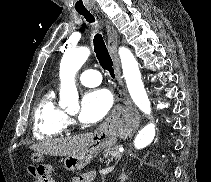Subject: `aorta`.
<instances>
[{
	"label": "aorta",
	"instance_id": "762f6f07",
	"mask_svg": "<svg viewBox=\"0 0 211 182\" xmlns=\"http://www.w3.org/2000/svg\"><path fill=\"white\" fill-rule=\"evenodd\" d=\"M119 56L122 64L123 76L125 78L129 94L135 105L146 115L151 114V103L141 79L139 65L130 49L119 48ZM90 56V49L79 47L67 51L60 64V103L62 106H77L78 91L75 85V76L81 66ZM155 137V125H145L134 139L136 149L147 147Z\"/></svg>",
	"mask_w": 211,
	"mask_h": 182
}]
</instances>
